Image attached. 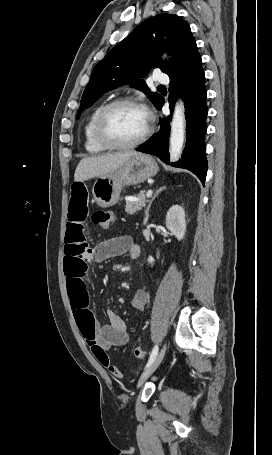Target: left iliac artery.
I'll use <instances>...</instances> for the list:
<instances>
[{"instance_id":"obj_1","label":"left iliac artery","mask_w":272,"mask_h":455,"mask_svg":"<svg viewBox=\"0 0 272 455\" xmlns=\"http://www.w3.org/2000/svg\"><path fill=\"white\" fill-rule=\"evenodd\" d=\"M157 353H158V345H155L153 350H152V352H151L150 358H149V360H148V362L146 364V368L152 364V362L154 361V359L157 356Z\"/></svg>"}]
</instances>
